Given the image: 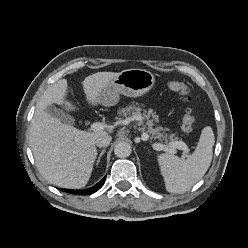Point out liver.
<instances>
[{
  "instance_id": "liver-1",
  "label": "liver",
  "mask_w": 248,
  "mask_h": 248,
  "mask_svg": "<svg viewBox=\"0 0 248 248\" xmlns=\"http://www.w3.org/2000/svg\"><path fill=\"white\" fill-rule=\"evenodd\" d=\"M118 75L97 72L86 77L83 81L86 101L92 105L98 104L101 90ZM67 86V80L60 79L44 91L36 105L29 139L36 166L50 184L80 189L87 184L93 170L97 156L95 139L107 132L82 131L46 112L53 103L64 106L67 111L75 109L66 101Z\"/></svg>"
}]
</instances>
